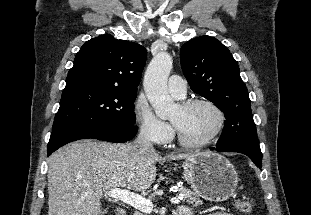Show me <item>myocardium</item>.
Listing matches in <instances>:
<instances>
[{
  "label": "myocardium",
  "instance_id": "1",
  "mask_svg": "<svg viewBox=\"0 0 311 215\" xmlns=\"http://www.w3.org/2000/svg\"><path fill=\"white\" fill-rule=\"evenodd\" d=\"M199 104L207 105L210 108H212L215 111V113L217 114L218 123H217L214 131L207 138H205L204 140L199 141V142L187 141L185 138H183V136L178 131L177 127L173 124L175 127L176 137H177V141L179 142V144L182 145L183 147L190 148V149L203 148V147L209 145L222 132V130L225 126V122H226V117H225L223 110L215 102H213L207 98H190V99H186V100L181 101L178 105L182 109H188L194 105H199Z\"/></svg>",
  "mask_w": 311,
  "mask_h": 215
}]
</instances>
